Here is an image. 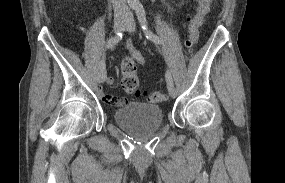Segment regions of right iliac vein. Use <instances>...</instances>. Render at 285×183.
Instances as JSON below:
<instances>
[{
	"label": "right iliac vein",
	"instance_id": "63e3f726",
	"mask_svg": "<svg viewBox=\"0 0 285 183\" xmlns=\"http://www.w3.org/2000/svg\"><path fill=\"white\" fill-rule=\"evenodd\" d=\"M126 23V18L124 17H119V18H116L114 20V23H113V29H114V32L115 33H118L122 30L123 26L125 25ZM105 78H106V71L104 69H101L98 73V82L99 83H102L105 81Z\"/></svg>",
	"mask_w": 285,
	"mask_h": 183
}]
</instances>
